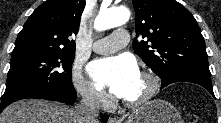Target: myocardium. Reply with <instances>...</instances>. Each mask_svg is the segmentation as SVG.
Segmentation results:
<instances>
[{
	"label": "myocardium",
	"mask_w": 221,
	"mask_h": 123,
	"mask_svg": "<svg viewBox=\"0 0 221 123\" xmlns=\"http://www.w3.org/2000/svg\"><path fill=\"white\" fill-rule=\"evenodd\" d=\"M140 74L149 81V88L147 92L138 100L128 101L122 99V104L127 108L137 109L146 105L156 96L160 89L161 82L159 76L156 73L145 69L142 70Z\"/></svg>",
	"instance_id": "1"
}]
</instances>
